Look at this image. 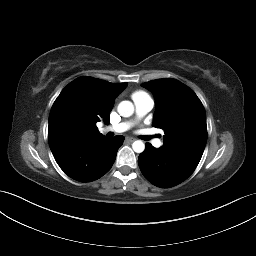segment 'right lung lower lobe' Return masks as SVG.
I'll list each match as a JSON object with an SVG mask.
<instances>
[{"mask_svg": "<svg viewBox=\"0 0 256 256\" xmlns=\"http://www.w3.org/2000/svg\"><path fill=\"white\" fill-rule=\"evenodd\" d=\"M123 136H104L68 144L54 152L60 168L72 179L91 182L102 177L112 167Z\"/></svg>", "mask_w": 256, "mask_h": 256, "instance_id": "1", "label": "right lung lower lobe"}]
</instances>
